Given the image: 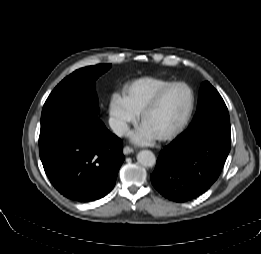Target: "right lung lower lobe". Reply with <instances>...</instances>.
Here are the masks:
<instances>
[{"mask_svg": "<svg viewBox=\"0 0 261 254\" xmlns=\"http://www.w3.org/2000/svg\"><path fill=\"white\" fill-rule=\"evenodd\" d=\"M39 154L53 186L81 202L109 193L125 159L122 141L96 113L75 102L44 105Z\"/></svg>", "mask_w": 261, "mask_h": 254, "instance_id": "right-lung-lower-lobe-1", "label": "right lung lower lobe"}]
</instances>
